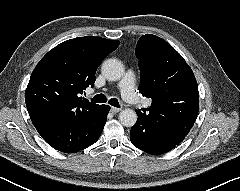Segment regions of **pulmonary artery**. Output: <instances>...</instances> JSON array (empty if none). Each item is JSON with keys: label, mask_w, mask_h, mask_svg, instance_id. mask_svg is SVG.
<instances>
[{"label": "pulmonary artery", "mask_w": 240, "mask_h": 191, "mask_svg": "<svg viewBox=\"0 0 240 191\" xmlns=\"http://www.w3.org/2000/svg\"><path fill=\"white\" fill-rule=\"evenodd\" d=\"M119 89L122 98L131 104H141L144 107H149L151 101L141 100L135 91V74L133 71L128 70L123 79L119 83Z\"/></svg>", "instance_id": "pulmonary-artery-1"}]
</instances>
